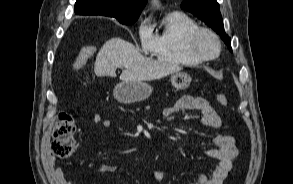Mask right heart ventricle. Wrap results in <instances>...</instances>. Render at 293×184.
<instances>
[{"mask_svg":"<svg viewBox=\"0 0 293 184\" xmlns=\"http://www.w3.org/2000/svg\"><path fill=\"white\" fill-rule=\"evenodd\" d=\"M198 27V24L184 13L167 14L160 31L155 35L152 53L162 62L183 66L198 65L200 61L193 58L186 48L189 34Z\"/></svg>","mask_w":293,"mask_h":184,"instance_id":"1","label":"right heart ventricle"}]
</instances>
